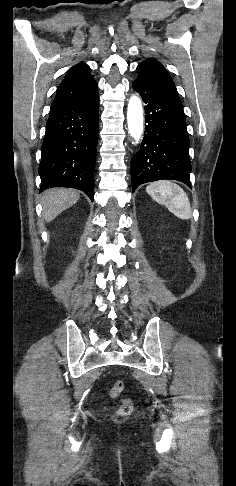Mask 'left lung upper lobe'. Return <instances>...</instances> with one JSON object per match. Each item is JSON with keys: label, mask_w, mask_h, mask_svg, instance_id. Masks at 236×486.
<instances>
[{"label": "left lung upper lobe", "mask_w": 236, "mask_h": 486, "mask_svg": "<svg viewBox=\"0 0 236 486\" xmlns=\"http://www.w3.org/2000/svg\"><path fill=\"white\" fill-rule=\"evenodd\" d=\"M137 70V79L146 81L156 90L174 98L181 103L172 78L159 61L148 58L138 65Z\"/></svg>", "instance_id": "left-lung-upper-lobe-1"}]
</instances>
